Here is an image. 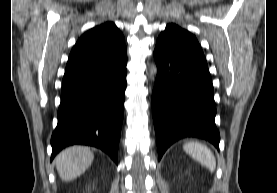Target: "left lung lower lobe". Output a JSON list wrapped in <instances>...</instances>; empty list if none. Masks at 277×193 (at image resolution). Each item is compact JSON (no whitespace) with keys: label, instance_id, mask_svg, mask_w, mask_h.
<instances>
[{"label":"left lung lower lobe","instance_id":"1","mask_svg":"<svg viewBox=\"0 0 277 193\" xmlns=\"http://www.w3.org/2000/svg\"><path fill=\"white\" fill-rule=\"evenodd\" d=\"M154 57L157 77L152 114L158 159L171 144L184 137L208 140L219 149L214 90L204 54L158 38Z\"/></svg>","mask_w":277,"mask_h":193}]
</instances>
